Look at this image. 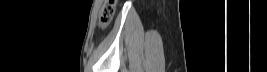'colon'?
Masks as SVG:
<instances>
[{"label": "colon", "instance_id": "5ec220e1", "mask_svg": "<svg viewBox=\"0 0 267 72\" xmlns=\"http://www.w3.org/2000/svg\"><path fill=\"white\" fill-rule=\"evenodd\" d=\"M114 14V6L113 1H110L108 5H106L100 14V24L101 26H106L112 19Z\"/></svg>", "mask_w": 267, "mask_h": 72}]
</instances>
